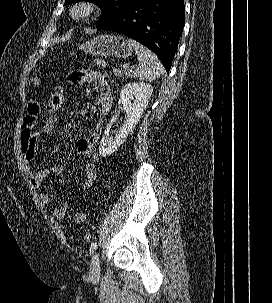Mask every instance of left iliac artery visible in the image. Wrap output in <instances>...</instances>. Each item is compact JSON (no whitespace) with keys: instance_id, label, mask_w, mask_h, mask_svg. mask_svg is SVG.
<instances>
[{"instance_id":"left-iliac-artery-1","label":"left iliac artery","mask_w":272,"mask_h":303,"mask_svg":"<svg viewBox=\"0 0 272 303\" xmlns=\"http://www.w3.org/2000/svg\"><path fill=\"white\" fill-rule=\"evenodd\" d=\"M96 246H97L96 242L91 243L90 249H89L90 255H92L94 253V251L96 250Z\"/></svg>"}]
</instances>
